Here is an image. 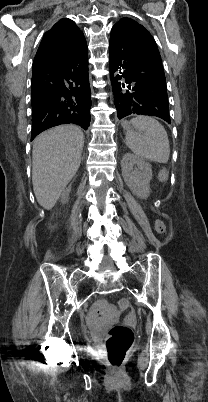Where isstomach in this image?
I'll return each mask as SVG.
<instances>
[{"label": "stomach", "mask_w": 208, "mask_h": 402, "mask_svg": "<svg viewBox=\"0 0 208 402\" xmlns=\"http://www.w3.org/2000/svg\"><path fill=\"white\" fill-rule=\"evenodd\" d=\"M122 126H123L124 130H127V132H129V130H131V126H130L129 122H122Z\"/></svg>", "instance_id": "obj_1"}]
</instances>
